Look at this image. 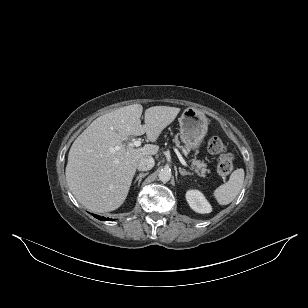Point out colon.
Instances as JSON below:
<instances>
[{
  "label": "colon",
  "mask_w": 308,
  "mask_h": 308,
  "mask_svg": "<svg viewBox=\"0 0 308 308\" xmlns=\"http://www.w3.org/2000/svg\"><path fill=\"white\" fill-rule=\"evenodd\" d=\"M208 151L218 156L217 172L227 176L233 170V156L227 151L225 143L219 137H212L208 142Z\"/></svg>",
  "instance_id": "5ec220e1"
}]
</instances>
